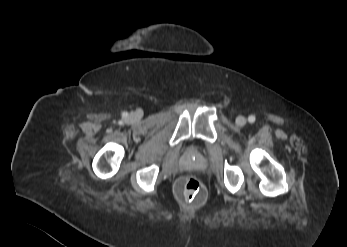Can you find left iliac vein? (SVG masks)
<instances>
[{"mask_svg":"<svg viewBox=\"0 0 347 247\" xmlns=\"http://www.w3.org/2000/svg\"><path fill=\"white\" fill-rule=\"evenodd\" d=\"M246 121L247 120H246V118L244 116H238L236 118L235 123H236L237 126L242 127V126H244L246 124Z\"/></svg>","mask_w":347,"mask_h":247,"instance_id":"obj_1","label":"left iliac vein"}]
</instances>
